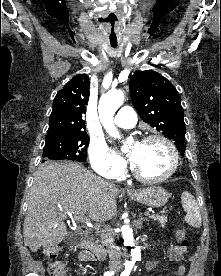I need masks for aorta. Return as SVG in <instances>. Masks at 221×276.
Listing matches in <instances>:
<instances>
[{"instance_id": "762f6f07", "label": "aorta", "mask_w": 221, "mask_h": 276, "mask_svg": "<svg viewBox=\"0 0 221 276\" xmlns=\"http://www.w3.org/2000/svg\"><path fill=\"white\" fill-rule=\"evenodd\" d=\"M124 93L120 90L110 91L100 98L98 112L99 118L106 132L114 138H119L120 134L113 123V117L118 108L123 104ZM122 235L126 246L133 247L131 249V261L128 263L132 266L136 261L141 259V251L139 247L134 246L133 231L129 225H123Z\"/></svg>"}]
</instances>
